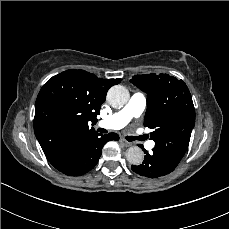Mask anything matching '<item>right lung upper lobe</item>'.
I'll list each match as a JSON object with an SVG mask.
<instances>
[{
    "label": "right lung upper lobe",
    "instance_id": "cb5924a9",
    "mask_svg": "<svg viewBox=\"0 0 229 229\" xmlns=\"http://www.w3.org/2000/svg\"><path fill=\"white\" fill-rule=\"evenodd\" d=\"M121 79H102L84 70L70 69L50 78L35 104L34 132L55 166L80 142L96 134V123L108 89Z\"/></svg>",
    "mask_w": 229,
    "mask_h": 229
}]
</instances>
